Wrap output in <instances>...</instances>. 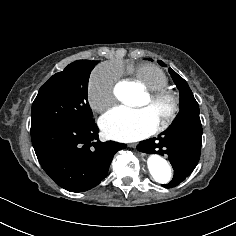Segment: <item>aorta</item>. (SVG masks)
Segmentation results:
<instances>
[{"label":"aorta","mask_w":236,"mask_h":236,"mask_svg":"<svg viewBox=\"0 0 236 236\" xmlns=\"http://www.w3.org/2000/svg\"><path fill=\"white\" fill-rule=\"evenodd\" d=\"M119 94L126 103L133 104L136 100V94L126 86L121 88ZM148 169L153 179L160 183L166 184L172 178V171L169 163L158 154H151L147 160Z\"/></svg>","instance_id":"762f6f07"}]
</instances>
